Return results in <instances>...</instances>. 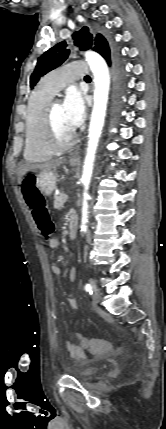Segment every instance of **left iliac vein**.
I'll list each match as a JSON object with an SVG mask.
<instances>
[{
  "label": "left iliac vein",
  "mask_w": 166,
  "mask_h": 429,
  "mask_svg": "<svg viewBox=\"0 0 166 429\" xmlns=\"http://www.w3.org/2000/svg\"><path fill=\"white\" fill-rule=\"evenodd\" d=\"M92 286L94 288V292L92 293L91 300L93 304L97 305L101 300V294L96 290L94 284H92Z\"/></svg>",
  "instance_id": "4c4485c4"
}]
</instances>
